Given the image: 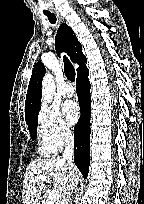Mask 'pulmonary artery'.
<instances>
[{"label":"pulmonary artery","mask_w":144,"mask_h":204,"mask_svg":"<svg viewBox=\"0 0 144 204\" xmlns=\"http://www.w3.org/2000/svg\"><path fill=\"white\" fill-rule=\"evenodd\" d=\"M61 94L64 97H71V96H73V94H74L73 86L69 82L64 83L62 88H61Z\"/></svg>","instance_id":"obj_1"}]
</instances>
